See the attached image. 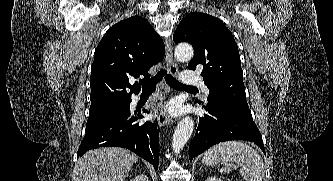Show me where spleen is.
Returning a JSON list of instances; mask_svg holds the SVG:
<instances>
[{"mask_svg":"<svg viewBox=\"0 0 333 181\" xmlns=\"http://www.w3.org/2000/svg\"><path fill=\"white\" fill-rule=\"evenodd\" d=\"M208 166H218L220 172H230L234 164L241 167L245 181H262L265 174L260 154L251 146L238 141H228L212 146L202 159ZM223 167L219 169V165Z\"/></svg>","mask_w":333,"mask_h":181,"instance_id":"1","label":"spleen"}]
</instances>
